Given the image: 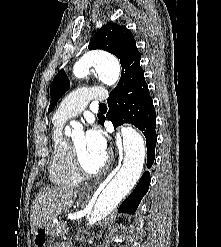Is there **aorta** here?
I'll list each match as a JSON object with an SVG mask.
<instances>
[{"instance_id":"aorta-1","label":"aorta","mask_w":221,"mask_h":247,"mask_svg":"<svg viewBox=\"0 0 221 247\" xmlns=\"http://www.w3.org/2000/svg\"><path fill=\"white\" fill-rule=\"evenodd\" d=\"M90 67H93L108 85L115 84L119 79L120 65L112 55L101 51L88 53L75 64L74 75L81 77ZM72 126L76 129L79 128L76 123H73ZM121 132L124 151L123 164L97 198L89 219L90 226L112 212L133 189L141 176L145 159L144 139L138 131L130 126L122 127Z\"/></svg>"}]
</instances>
